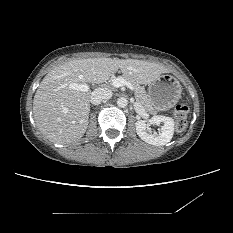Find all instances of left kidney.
<instances>
[{
    "instance_id": "obj_1",
    "label": "left kidney",
    "mask_w": 233,
    "mask_h": 233,
    "mask_svg": "<svg viewBox=\"0 0 233 233\" xmlns=\"http://www.w3.org/2000/svg\"><path fill=\"white\" fill-rule=\"evenodd\" d=\"M148 123L159 126L163 123L159 133H150L147 121L139 120L135 123L137 135L145 142L162 146L170 142L174 134V120L170 117L156 115Z\"/></svg>"
}]
</instances>
